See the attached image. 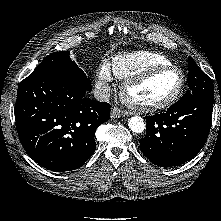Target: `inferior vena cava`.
Returning <instances> with one entry per match:
<instances>
[{
	"label": "inferior vena cava",
	"mask_w": 221,
	"mask_h": 221,
	"mask_svg": "<svg viewBox=\"0 0 221 221\" xmlns=\"http://www.w3.org/2000/svg\"><path fill=\"white\" fill-rule=\"evenodd\" d=\"M94 97L98 101L107 102L110 98V87L107 83H102L94 90Z\"/></svg>",
	"instance_id": "inferior-vena-cava-1"
}]
</instances>
